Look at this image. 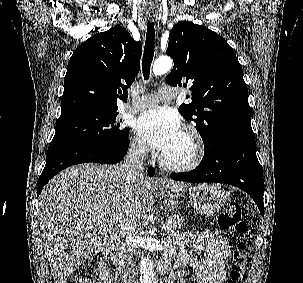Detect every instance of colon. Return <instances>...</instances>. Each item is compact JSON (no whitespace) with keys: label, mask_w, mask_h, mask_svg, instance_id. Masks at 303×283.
Segmentation results:
<instances>
[{"label":"colon","mask_w":303,"mask_h":283,"mask_svg":"<svg viewBox=\"0 0 303 283\" xmlns=\"http://www.w3.org/2000/svg\"><path fill=\"white\" fill-rule=\"evenodd\" d=\"M219 225L225 230H230L238 234L246 232V223L242 217L240 205L233 200L227 201L219 216ZM250 261V250L243 242L237 244L233 255V264L229 273L227 283H241L245 277L246 269ZM96 273V266L85 263L76 273L65 283H92Z\"/></svg>","instance_id":"1"}]
</instances>
